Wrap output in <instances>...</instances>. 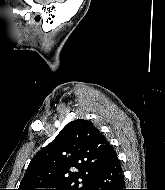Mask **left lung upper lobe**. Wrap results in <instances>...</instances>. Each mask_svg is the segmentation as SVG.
I'll return each instance as SVG.
<instances>
[{"mask_svg":"<svg viewBox=\"0 0 165 190\" xmlns=\"http://www.w3.org/2000/svg\"><path fill=\"white\" fill-rule=\"evenodd\" d=\"M115 157L90 121H72L32 158L18 190H89L98 171Z\"/></svg>","mask_w":165,"mask_h":190,"instance_id":"obj_1","label":"left lung upper lobe"}]
</instances>
